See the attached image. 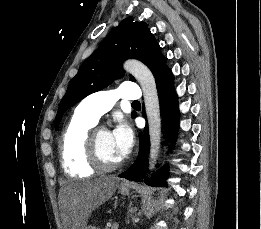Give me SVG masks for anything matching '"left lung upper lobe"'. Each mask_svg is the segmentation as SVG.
<instances>
[{
    "mask_svg": "<svg viewBox=\"0 0 261 229\" xmlns=\"http://www.w3.org/2000/svg\"><path fill=\"white\" fill-rule=\"evenodd\" d=\"M127 58L142 61L150 68L155 78L168 68L166 58L147 24L132 17L124 19L80 66L60 102L55 128H58L67 109L122 77V63ZM130 80L135 81L133 77ZM135 115V112H132V117Z\"/></svg>",
    "mask_w": 261,
    "mask_h": 229,
    "instance_id": "obj_1",
    "label": "left lung upper lobe"
}]
</instances>
